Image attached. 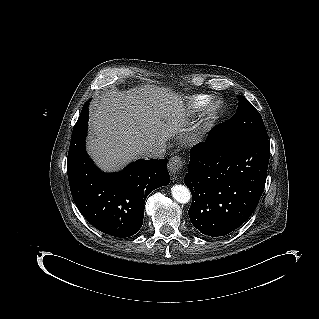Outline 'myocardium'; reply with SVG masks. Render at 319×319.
<instances>
[{
    "mask_svg": "<svg viewBox=\"0 0 319 319\" xmlns=\"http://www.w3.org/2000/svg\"><path fill=\"white\" fill-rule=\"evenodd\" d=\"M222 109V102L212 98L204 106L200 119L190 134V138L197 140L214 122Z\"/></svg>",
    "mask_w": 319,
    "mask_h": 319,
    "instance_id": "obj_1",
    "label": "myocardium"
}]
</instances>
